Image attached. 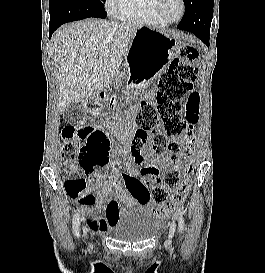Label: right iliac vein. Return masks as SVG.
Listing matches in <instances>:
<instances>
[{
    "label": "right iliac vein",
    "mask_w": 265,
    "mask_h": 273,
    "mask_svg": "<svg viewBox=\"0 0 265 273\" xmlns=\"http://www.w3.org/2000/svg\"><path fill=\"white\" fill-rule=\"evenodd\" d=\"M84 233H86V229L84 228Z\"/></svg>",
    "instance_id": "obj_1"
}]
</instances>
